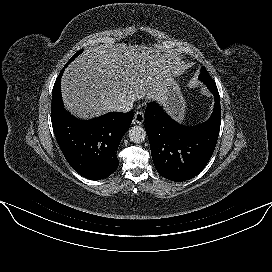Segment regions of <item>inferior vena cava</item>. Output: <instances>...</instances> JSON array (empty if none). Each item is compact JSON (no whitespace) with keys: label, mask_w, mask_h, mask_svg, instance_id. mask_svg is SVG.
Returning a JSON list of instances; mask_svg holds the SVG:
<instances>
[{"label":"inferior vena cava","mask_w":272,"mask_h":272,"mask_svg":"<svg viewBox=\"0 0 272 272\" xmlns=\"http://www.w3.org/2000/svg\"><path fill=\"white\" fill-rule=\"evenodd\" d=\"M133 107V101L131 100H122L119 104L114 105L112 107L113 111L116 112H129L131 110V108Z\"/></svg>","instance_id":"obj_1"}]
</instances>
